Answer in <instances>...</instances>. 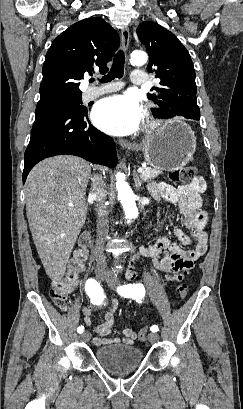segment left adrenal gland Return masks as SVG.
Instances as JSON below:
<instances>
[{
  "label": "left adrenal gland",
  "mask_w": 243,
  "mask_h": 409,
  "mask_svg": "<svg viewBox=\"0 0 243 409\" xmlns=\"http://www.w3.org/2000/svg\"><path fill=\"white\" fill-rule=\"evenodd\" d=\"M133 177H134V181H135V187L137 190H142L143 188L141 187V179L138 176V174L136 173V171H133Z\"/></svg>",
  "instance_id": "obj_1"
}]
</instances>
